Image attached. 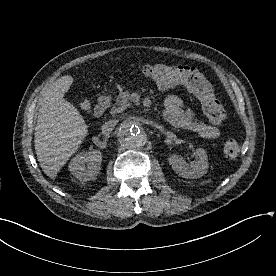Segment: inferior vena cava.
<instances>
[{
    "label": "inferior vena cava",
    "mask_w": 276,
    "mask_h": 276,
    "mask_svg": "<svg viewBox=\"0 0 276 276\" xmlns=\"http://www.w3.org/2000/svg\"><path fill=\"white\" fill-rule=\"evenodd\" d=\"M118 121L117 120H110L107 121L103 126H102V131L103 133L107 134L110 133L113 128L117 125Z\"/></svg>",
    "instance_id": "obj_1"
}]
</instances>
